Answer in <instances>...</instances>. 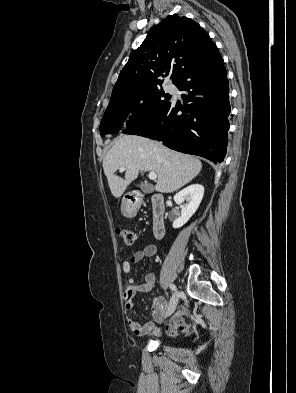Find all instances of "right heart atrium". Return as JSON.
Returning a JSON list of instances; mask_svg holds the SVG:
<instances>
[{
	"instance_id": "right-heart-atrium-1",
	"label": "right heart atrium",
	"mask_w": 296,
	"mask_h": 393,
	"mask_svg": "<svg viewBox=\"0 0 296 393\" xmlns=\"http://www.w3.org/2000/svg\"><path fill=\"white\" fill-rule=\"evenodd\" d=\"M143 105L141 103L136 104L135 106H133L131 112L134 116H140L143 113Z\"/></svg>"
}]
</instances>
